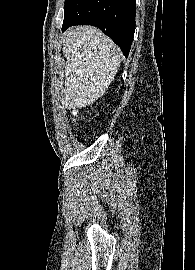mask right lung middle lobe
<instances>
[{
  "mask_svg": "<svg viewBox=\"0 0 195 270\" xmlns=\"http://www.w3.org/2000/svg\"><path fill=\"white\" fill-rule=\"evenodd\" d=\"M73 0H65V10L71 5Z\"/></svg>",
  "mask_w": 195,
  "mask_h": 270,
  "instance_id": "obj_1",
  "label": "right lung middle lobe"
}]
</instances>
